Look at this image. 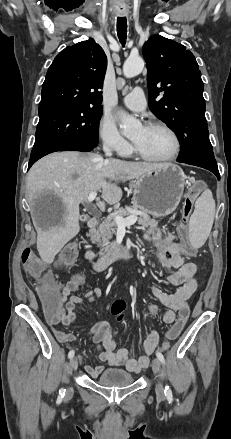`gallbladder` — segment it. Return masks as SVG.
I'll return each mask as SVG.
<instances>
[{
  "instance_id": "obj_1",
  "label": "gallbladder",
  "mask_w": 231,
  "mask_h": 439,
  "mask_svg": "<svg viewBox=\"0 0 231 439\" xmlns=\"http://www.w3.org/2000/svg\"><path fill=\"white\" fill-rule=\"evenodd\" d=\"M86 219H87V217H86V216H83V219H82V220L85 221Z\"/></svg>"
}]
</instances>
